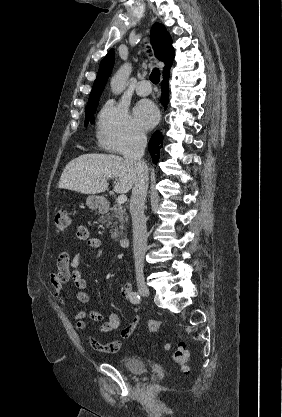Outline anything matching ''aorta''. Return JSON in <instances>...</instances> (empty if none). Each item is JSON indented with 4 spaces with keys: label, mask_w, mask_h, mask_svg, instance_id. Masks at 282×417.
Listing matches in <instances>:
<instances>
[{
    "label": "aorta",
    "mask_w": 282,
    "mask_h": 417,
    "mask_svg": "<svg viewBox=\"0 0 282 417\" xmlns=\"http://www.w3.org/2000/svg\"><path fill=\"white\" fill-rule=\"evenodd\" d=\"M131 70L132 66L130 62H124V64L118 68L117 72H115L114 76H112L110 80V86L113 94H120V92H123L125 82L127 78H129Z\"/></svg>",
    "instance_id": "obj_1"
}]
</instances>
